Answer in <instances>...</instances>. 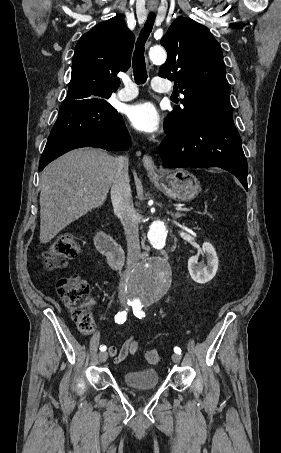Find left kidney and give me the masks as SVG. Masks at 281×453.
Returning <instances> with one entry per match:
<instances>
[{
    "mask_svg": "<svg viewBox=\"0 0 281 453\" xmlns=\"http://www.w3.org/2000/svg\"><path fill=\"white\" fill-rule=\"evenodd\" d=\"M200 253L201 255H205L207 267H203V269H201V267H196L198 255H195V257H190L188 261V271L191 275V279H193L195 283H201V285H203V283H208V281H211V279L215 277L218 271V257L211 243H203Z\"/></svg>",
    "mask_w": 281,
    "mask_h": 453,
    "instance_id": "5707ae66",
    "label": "left kidney"
}]
</instances>
